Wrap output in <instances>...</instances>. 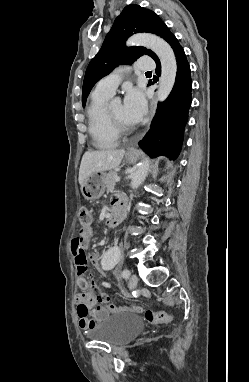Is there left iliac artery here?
Returning a JSON list of instances; mask_svg holds the SVG:
<instances>
[{
  "label": "left iliac artery",
  "instance_id": "44dca946",
  "mask_svg": "<svg viewBox=\"0 0 249 382\" xmlns=\"http://www.w3.org/2000/svg\"><path fill=\"white\" fill-rule=\"evenodd\" d=\"M130 271L128 269H124L123 272H122V276L123 278H129L130 276Z\"/></svg>",
  "mask_w": 249,
  "mask_h": 382
}]
</instances>
